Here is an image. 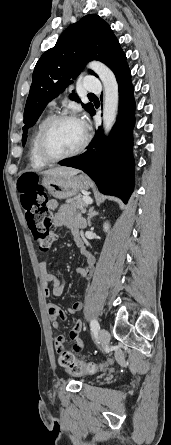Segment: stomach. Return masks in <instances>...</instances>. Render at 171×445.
I'll use <instances>...</instances> for the list:
<instances>
[{"mask_svg":"<svg viewBox=\"0 0 171 445\" xmlns=\"http://www.w3.org/2000/svg\"><path fill=\"white\" fill-rule=\"evenodd\" d=\"M42 185L56 199H68L89 189V181L83 175L55 176L43 175Z\"/></svg>","mask_w":171,"mask_h":445,"instance_id":"stomach-1","label":"stomach"}]
</instances>
